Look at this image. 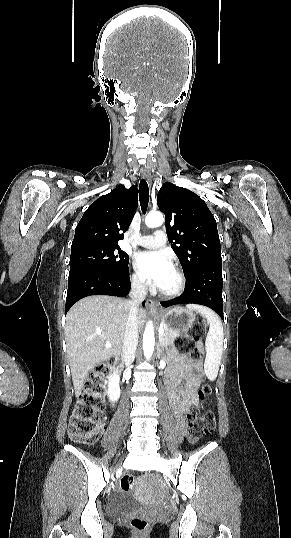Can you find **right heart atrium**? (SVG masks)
<instances>
[{"instance_id":"1","label":"right heart atrium","mask_w":291,"mask_h":538,"mask_svg":"<svg viewBox=\"0 0 291 538\" xmlns=\"http://www.w3.org/2000/svg\"><path fill=\"white\" fill-rule=\"evenodd\" d=\"M131 282L135 289L143 290L145 288L144 281L136 274H132Z\"/></svg>"}]
</instances>
